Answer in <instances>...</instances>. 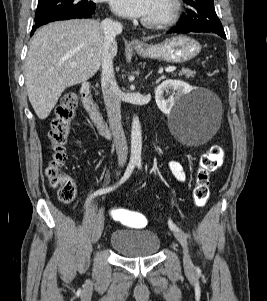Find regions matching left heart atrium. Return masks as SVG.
Listing matches in <instances>:
<instances>
[{"label":"left heart atrium","instance_id":"1","mask_svg":"<svg viewBox=\"0 0 267 301\" xmlns=\"http://www.w3.org/2000/svg\"><path fill=\"white\" fill-rule=\"evenodd\" d=\"M151 0H109L115 13L126 18L145 17Z\"/></svg>","mask_w":267,"mask_h":301}]
</instances>
